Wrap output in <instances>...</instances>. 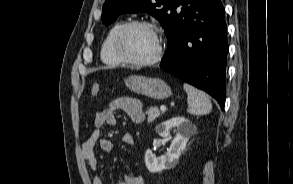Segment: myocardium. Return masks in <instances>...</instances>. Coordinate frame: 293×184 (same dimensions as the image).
<instances>
[{
	"label": "myocardium",
	"mask_w": 293,
	"mask_h": 184,
	"mask_svg": "<svg viewBox=\"0 0 293 184\" xmlns=\"http://www.w3.org/2000/svg\"><path fill=\"white\" fill-rule=\"evenodd\" d=\"M145 27L148 28L149 30L152 31V33L155 36L156 39V43H157V49L155 54L145 60H135V59H131L129 57H127L121 50L120 48V42L121 39L123 37V35L131 28L133 27ZM112 48H113V52L116 55V57L122 62V63H126V64H130V65H134V66H150V65H154L156 63H158L165 52V43H164V39L163 36L159 30V28L149 22V21H145V20H132L129 22L124 23L116 32L114 38H113V42H112Z\"/></svg>",
	"instance_id": "obj_1"
}]
</instances>
